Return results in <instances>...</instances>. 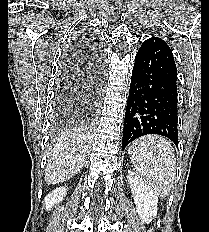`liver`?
<instances>
[{"label": "liver", "instance_id": "obj_1", "mask_svg": "<svg viewBox=\"0 0 209 232\" xmlns=\"http://www.w3.org/2000/svg\"><path fill=\"white\" fill-rule=\"evenodd\" d=\"M89 148V137L84 130L76 128L62 133L47 161L46 183H61L76 175L86 163Z\"/></svg>", "mask_w": 209, "mask_h": 232}]
</instances>
